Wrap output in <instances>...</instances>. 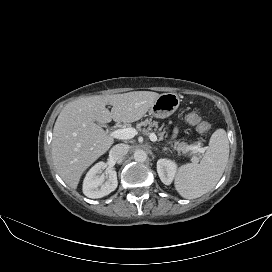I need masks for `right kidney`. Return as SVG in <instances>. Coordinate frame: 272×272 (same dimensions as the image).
<instances>
[{
	"label": "right kidney",
	"instance_id": "1",
	"mask_svg": "<svg viewBox=\"0 0 272 272\" xmlns=\"http://www.w3.org/2000/svg\"><path fill=\"white\" fill-rule=\"evenodd\" d=\"M106 167V163L99 162L86 174L83 181V193L88 198H102L117 188L118 181L116 171H110L107 176L101 174Z\"/></svg>",
	"mask_w": 272,
	"mask_h": 272
}]
</instances>
